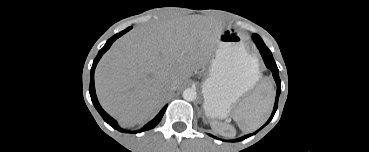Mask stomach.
Wrapping results in <instances>:
<instances>
[{
  "mask_svg": "<svg viewBox=\"0 0 369 152\" xmlns=\"http://www.w3.org/2000/svg\"><path fill=\"white\" fill-rule=\"evenodd\" d=\"M259 78L257 60L248 54L242 36L230 27L222 30L209 77L202 85L206 115L226 118Z\"/></svg>",
  "mask_w": 369,
  "mask_h": 152,
  "instance_id": "obj_1",
  "label": "stomach"
}]
</instances>
